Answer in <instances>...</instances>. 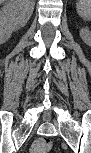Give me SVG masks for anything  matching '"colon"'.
Listing matches in <instances>:
<instances>
[{"label":"colon","instance_id":"colon-1","mask_svg":"<svg viewBox=\"0 0 91 153\" xmlns=\"http://www.w3.org/2000/svg\"><path fill=\"white\" fill-rule=\"evenodd\" d=\"M52 148V141L50 138L42 137L34 140L31 145V153H48Z\"/></svg>","mask_w":91,"mask_h":153}]
</instances>
